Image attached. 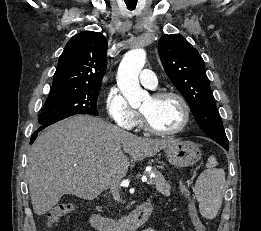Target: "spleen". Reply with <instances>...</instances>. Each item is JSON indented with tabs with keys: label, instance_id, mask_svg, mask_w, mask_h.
<instances>
[{
	"label": "spleen",
	"instance_id": "3e777b00",
	"mask_svg": "<svg viewBox=\"0 0 261 231\" xmlns=\"http://www.w3.org/2000/svg\"><path fill=\"white\" fill-rule=\"evenodd\" d=\"M218 162L210 156L206 163V170L196 181L194 192L199 202L201 215L206 219H214L222 205L225 192V172L218 169Z\"/></svg>",
	"mask_w": 261,
	"mask_h": 231
}]
</instances>
